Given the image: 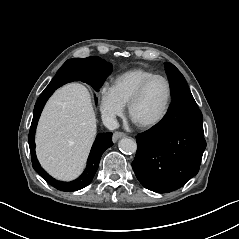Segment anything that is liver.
Segmentation results:
<instances>
[{
  "instance_id": "obj_1",
  "label": "liver",
  "mask_w": 239,
  "mask_h": 239,
  "mask_svg": "<svg viewBox=\"0 0 239 239\" xmlns=\"http://www.w3.org/2000/svg\"><path fill=\"white\" fill-rule=\"evenodd\" d=\"M96 136V117L88 89L69 83L55 91L46 103L36 131V154L41 166L54 178L78 177Z\"/></svg>"
}]
</instances>
